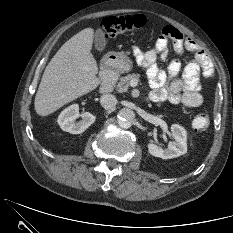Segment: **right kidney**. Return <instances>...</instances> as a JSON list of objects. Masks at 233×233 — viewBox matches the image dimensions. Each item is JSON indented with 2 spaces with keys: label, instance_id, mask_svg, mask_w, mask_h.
<instances>
[{
  "label": "right kidney",
  "instance_id": "1",
  "mask_svg": "<svg viewBox=\"0 0 233 233\" xmlns=\"http://www.w3.org/2000/svg\"><path fill=\"white\" fill-rule=\"evenodd\" d=\"M78 117L82 120L75 122ZM95 119L96 117L89 112L79 114L78 104H72L60 113L57 122L63 131L80 134L93 124Z\"/></svg>",
  "mask_w": 233,
  "mask_h": 233
}]
</instances>
